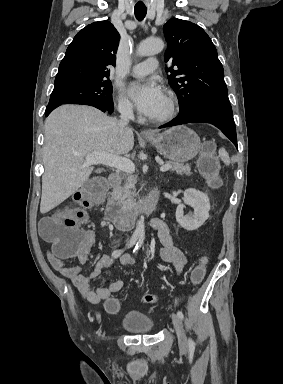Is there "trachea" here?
Segmentation results:
<instances>
[{
    "instance_id": "trachea-1",
    "label": "trachea",
    "mask_w": 283,
    "mask_h": 384,
    "mask_svg": "<svg viewBox=\"0 0 283 384\" xmlns=\"http://www.w3.org/2000/svg\"><path fill=\"white\" fill-rule=\"evenodd\" d=\"M134 12H135V17L137 18V20L141 21L146 16L147 8L137 7L134 9Z\"/></svg>"
}]
</instances>
